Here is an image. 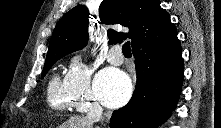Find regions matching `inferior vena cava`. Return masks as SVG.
Here are the masks:
<instances>
[{
    "mask_svg": "<svg viewBox=\"0 0 221 128\" xmlns=\"http://www.w3.org/2000/svg\"><path fill=\"white\" fill-rule=\"evenodd\" d=\"M102 112V107L99 104L94 103L89 107L86 117L89 121L98 122L102 118Z\"/></svg>",
    "mask_w": 221,
    "mask_h": 128,
    "instance_id": "1",
    "label": "inferior vena cava"
}]
</instances>
